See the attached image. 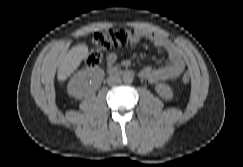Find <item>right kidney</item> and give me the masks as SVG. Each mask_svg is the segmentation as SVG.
I'll list each match as a JSON object with an SVG mask.
<instances>
[{"mask_svg": "<svg viewBox=\"0 0 243 167\" xmlns=\"http://www.w3.org/2000/svg\"><path fill=\"white\" fill-rule=\"evenodd\" d=\"M104 75V71L100 68L80 70L70 79L67 92L77 99L89 96L100 87Z\"/></svg>", "mask_w": 243, "mask_h": 167, "instance_id": "1", "label": "right kidney"}]
</instances>
